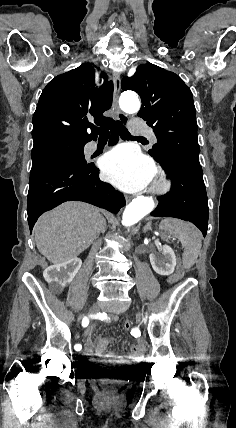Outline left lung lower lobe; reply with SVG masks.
<instances>
[{"label":"left lung lower lobe","mask_w":236,"mask_h":428,"mask_svg":"<svg viewBox=\"0 0 236 428\" xmlns=\"http://www.w3.org/2000/svg\"><path fill=\"white\" fill-rule=\"evenodd\" d=\"M162 166L171 179V190L158 197L159 204L151 215L190 221L205 236L209 209L201 166L177 160H167Z\"/></svg>","instance_id":"left-lung-lower-lobe-1"}]
</instances>
